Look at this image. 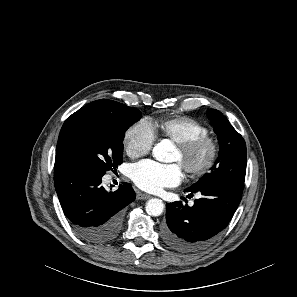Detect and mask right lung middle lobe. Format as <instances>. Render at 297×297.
<instances>
[{
    "label": "right lung middle lobe",
    "mask_w": 297,
    "mask_h": 297,
    "mask_svg": "<svg viewBox=\"0 0 297 297\" xmlns=\"http://www.w3.org/2000/svg\"><path fill=\"white\" fill-rule=\"evenodd\" d=\"M138 109L119 104V117L111 120L92 115L70 116L58 138L55 167L72 166L104 175L123 162V139L138 120Z\"/></svg>",
    "instance_id": "obj_1"
}]
</instances>
